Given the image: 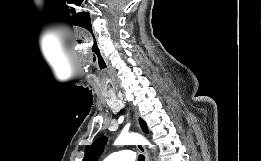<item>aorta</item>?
Masks as SVG:
<instances>
[{
    "label": "aorta",
    "mask_w": 261,
    "mask_h": 161,
    "mask_svg": "<svg viewBox=\"0 0 261 161\" xmlns=\"http://www.w3.org/2000/svg\"><path fill=\"white\" fill-rule=\"evenodd\" d=\"M139 143L152 145L141 135L137 133L121 134L115 141V145H137Z\"/></svg>",
    "instance_id": "1"
}]
</instances>
